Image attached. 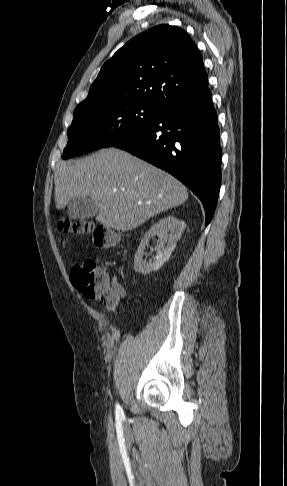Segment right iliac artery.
<instances>
[{
	"mask_svg": "<svg viewBox=\"0 0 287 486\" xmlns=\"http://www.w3.org/2000/svg\"><path fill=\"white\" fill-rule=\"evenodd\" d=\"M116 415L118 417H122L123 416V410H122V408L120 407L119 404L116 405Z\"/></svg>",
	"mask_w": 287,
	"mask_h": 486,
	"instance_id": "1",
	"label": "right iliac artery"
}]
</instances>
